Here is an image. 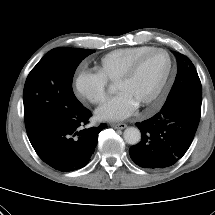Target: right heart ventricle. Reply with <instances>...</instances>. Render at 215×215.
I'll return each instance as SVG.
<instances>
[{
	"label": "right heart ventricle",
	"mask_w": 215,
	"mask_h": 215,
	"mask_svg": "<svg viewBox=\"0 0 215 215\" xmlns=\"http://www.w3.org/2000/svg\"><path fill=\"white\" fill-rule=\"evenodd\" d=\"M152 48L138 46L113 50L100 58L96 67L97 71L107 82H116L134 59Z\"/></svg>",
	"instance_id": "1"
}]
</instances>
